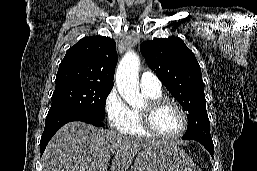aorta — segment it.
<instances>
[{
	"mask_svg": "<svg viewBox=\"0 0 257 171\" xmlns=\"http://www.w3.org/2000/svg\"><path fill=\"white\" fill-rule=\"evenodd\" d=\"M139 68V56L133 51H128L120 61L116 71V85L118 92L132 107H138L144 102L139 91Z\"/></svg>",
	"mask_w": 257,
	"mask_h": 171,
	"instance_id": "1",
	"label": "aorta"
}]
</instances>
